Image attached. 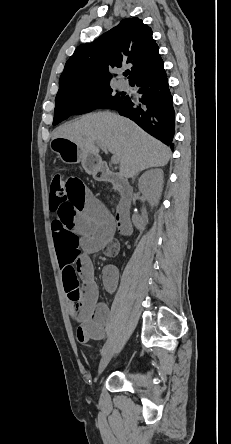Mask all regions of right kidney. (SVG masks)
I'll return each mask as SVG.
<instances>
[{
  "label": "right kidney",
  "instance_id": "ca27d5eb",
  "mask_svg": "<svg viewBox=\"0 0 231 444\" xmlns=\"http://www.w3.org/2000/svg\"><path fill=\"white\" fill-rule=\"evenodd\" d=\"M163 183V171L161 169L147 171L140 177L138 188L151 206L158 205L163 190ZM132 221L137 229L144 230L146 225L144 218L134 214Z\"/></svg>",
  "mask_w": 231,
  "mask_h": 444
}]
</instances>
